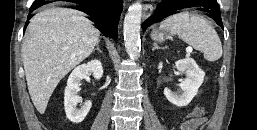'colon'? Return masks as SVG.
<instances>
[{"instance_id":"colon-1","label":"colon","mask_w":257,"mask_h":130,"mask_svg":"<svg viewBox=\"0 0 257 130\" xmlns=\"http://www.w3.org/2000/svg\"><path fill=\"white\" fill-rule=\"evenodd\" d=\"M206 114V109L203 106L196 107L192 113L188 116L192 120H201Z\"/></svg>"}]
</instances>
